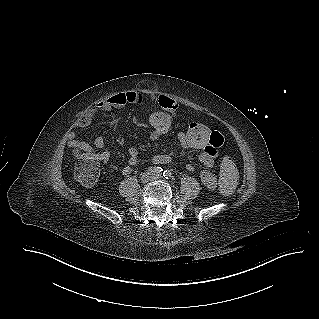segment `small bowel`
Here are the masks:
<instances>
[{
    "instance_id": "obj_1",
    "label": "small bowel",
    "mask_w": 319,
    "mask_h": 319,
    "mask_svg": "<svg viewBox=\"0 0 319 319\" xmlns=\"http://www.w3.org/2000/svg\"><path fill=\"white\" fill-rule=\"evenodd\" d=\"M144 102L143 94L140 91H127L112 95L102 101H100L95 107L90 110L85 111L76 123V129L85 130L89 128L94 120V117L102 112H107L113 109L121 108L126 105H139ZM157 108H162L164 113H175L177 101L176 99H169L164 96H160L156 101ZM172 115V114H171ZM173 117V115H172ZM76 129L68 134V146L73 149H90L91 146L85 142L78 141L76 139ZM151 139H158L162 135L150 131ZM210 144L207 148L201 150L198 159L205 167L200 173V178L204 186L208 189H215L218 184L216 175L210 170L219 154V150L223 149L224 138L222 129H211L210 131ZM179 143L183 148L188 147L182 138V132L177 136ZM93 148L100 150L95 153V157L103 162H106L111 157V152L109 149L105 148V141L102 136H97L93 141ZM128 152V166L124 168V173L129 174L132 171V167L136 165L138 160V151L134 147H130ZM171 158L167 155H156L152 158L153 163H168ZM188 171H194L195 166L192 163L186 165Z\"/></svg>"
}]
</instances>
